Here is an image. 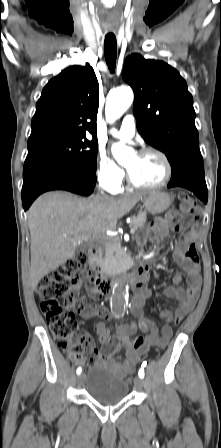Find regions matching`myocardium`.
I'll return each instance as SVG.
<instances>
[{"label": "myocardium", "mask_w": 221, "mask_h": 448, "mask_svg": "<svg viewBox=\"0 0 221 448\" xmlns=\"http://www.w3.org/2000/svg\"><path fill=\"white\" fill-rule=\"evenodd\" d=\"M137 154L140 156L147 155V154L157 155L163 161L165 169H166V173H165V177L163 178V180L160 181L159 183L154 184V185H144V184L138 183L128 171L127 180L131 187L136 188V189H146V190L147 189H158V188L165 186L171 180L172 175H173V165H172L170 158L167 156L166 153H164L162 150L154 148V147H144L141 150H139Z\"/></svg>", "instance_id": "1"}]
</instances>
